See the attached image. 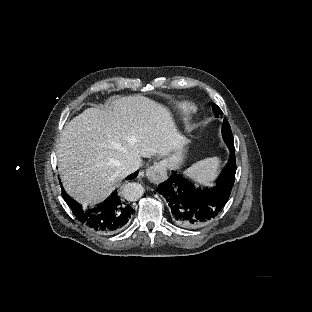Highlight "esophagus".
<instances>
[{
	"mask_svg": "<svg viewBox=\"0 0 312 312\" xmlns=\"http://www.w3.org/2000/svg\"><path fill=\"white\" fill-rule=\"evenodd\" d=\"M146 178L154 183L159 184L167 178V165L165 162H158L145 170Z\"/></svg>",
	"mask_w": 312,
	"mask_h": 312,
	"instance_id": "34e87169",
	"label": "esophagus"
}]
</instances>
